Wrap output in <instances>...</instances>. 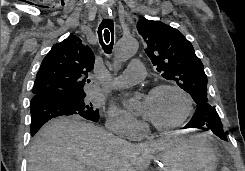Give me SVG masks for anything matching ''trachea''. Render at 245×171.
<instances>
[{"label":"trachea","mask_w":245,"mask_h":171,"mask_svg":"<svg viewBox=\"0 0 245 171\" xmlns=\"http://www.w3.org/2000/svg\"><path fill=\"white\" fill-rule=\"evenodd\" d=\"M114 24L111 19H103L98 27V36L100 44L102 45L105 53L110 54L113 49L114 39H113Z\"/></svg>","instance_id":"obj_1"}]
</instances>
